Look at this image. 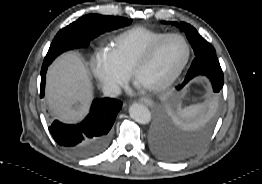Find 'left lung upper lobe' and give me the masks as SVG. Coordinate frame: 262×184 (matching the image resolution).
<instances>
[{
  "instance_id": "obj_1",
  "label": "left lung upper lobe",
  "mask_w": 262,
  "mask_h": 184,
  "mask_svg": "<svg viewBox=\"0 0 262 184\" xmlns=\"http://www.w3.org/2000/svg\"><path fill=\"white\" fill-rule=\"evenodd\" d=\"M165 24H170L169 21H164ZM173 25H176L177 27L180 28V30L184 31L185 34H186V37L188 38L193 50H194V54L197 56V55H200L202 53H206V52H215V49L213 48V46L208 43L204 38H202L200 36V34L197 32V30L189 25L188 23H185V22H180V23H177V22H172ZM190 72H187V75L185 77V80L184 82L181 84L180 88L184 87L188 81L191 80L190 77ZM211 81V84H212V87H213V90L215 92V90L219 87V88H222L223 87V84H224V80L223 78L220 80H210Z\"/></svg>"
}]
</instances>
